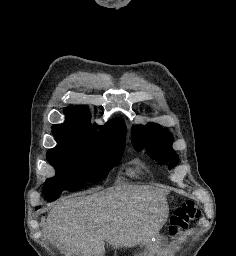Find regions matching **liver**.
Returning a JSON list of instances; mask_svg holds the SVG:
<instances>
[{
	"mask_svg": "<svg viewBox=\"0 0 236 256\" xmlns=\"http://www.w3.org/2000/svg\"><path fill=\"white\" fill-rule=\"evenodd\" d=\"M168 218L166 194L151 186H113L91 196L62 200L50 210L47 236L62 254L104 256L109 246H135L145 240L150 214Z\"/></svg>",
	"mask_w": 236,
	"mask_h": 256,
	"instance_id": "liver-1",
	"label": "liver"
}]
</instances>
